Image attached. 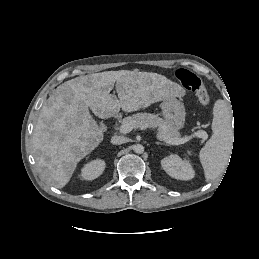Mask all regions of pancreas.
I'll return each instance as SVG.
<instances>
[{"mask_svg": "<svg viewBox=\"0 0 259 259\" xmlns=\"http://www.w3.org/2000/svg\"><path fill=\"white\" fill-rule=\"evenodd\" d=\"M132 124L133 128H150L158 129V136H165L168 138H179L180 134L175 126L158 115L150 113H137L132 116H128L122 120V124ZM198 132H202L198 131Z\"/></svg>", "mask_w": 259, "mask_h": 259, "instance_id": "cf45deb5", "label": "pancreas"}]
</instances>
